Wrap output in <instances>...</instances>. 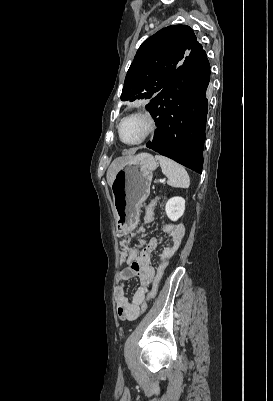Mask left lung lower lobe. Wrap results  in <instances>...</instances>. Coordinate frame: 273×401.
<instances>
[{
    "mask_svg": "<svg viewBox=\"0 0 273 401\" xmlns=\"http://www.w3.org/2000/svg\"><path fill=\"white\" fill-rule=\"evenodd\" d=\"M210 64L196 42L167 85L146 106L158 126L148 148L202 172Z\"/></svg>",
    "mask_w": 273,
    "mask_h": 401,
    "instance_id": "obj_1",
    "label": "left lung lower lobe"
}]
</instances>
